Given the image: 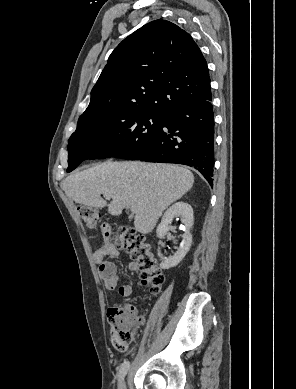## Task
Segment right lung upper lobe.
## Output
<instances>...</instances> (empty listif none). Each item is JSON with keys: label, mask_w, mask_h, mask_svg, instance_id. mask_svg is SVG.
<instances>
[{"label": "right lung upper lobe", "mask_w": 296, "mask_h": 389, "mask_svg": "<svg viewBox=\"0 0 296 389\" xmlns=\"http://www.w3.org/2000/svg\"><path fill=\"white\" fill-rule=\"evenodd\" d=\"M209 96L207 62L197 44L177 25L155 20L114 49L80 118L116 108L168 115Z\"/></svg>", "instance_id": "cb5924a9"}]
</instances>
